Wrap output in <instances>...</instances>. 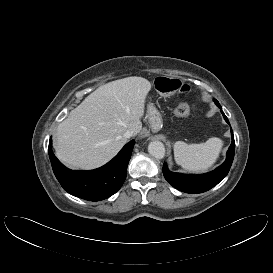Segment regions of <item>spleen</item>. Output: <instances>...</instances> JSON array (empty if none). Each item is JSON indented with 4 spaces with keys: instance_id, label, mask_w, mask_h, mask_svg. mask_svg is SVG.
<instances>
[{
    "instance_id": "3e777b00",
    "label": "spleen",
    "mask_w": 273,
    "mask_h": 273,
    "mask_svg": "<svg viewBox=\"0 0 273 273\" xmlns=\"http://www.w3.org/2000/svg\"><path fill=\"white\" fill-rule=\"evenodd\" d=\"M222 146L223 141L216 137L200 144L177 141L174 144L175 161L187 171L205 172L217 161Z\"/></svg>"
}]
</instances>
